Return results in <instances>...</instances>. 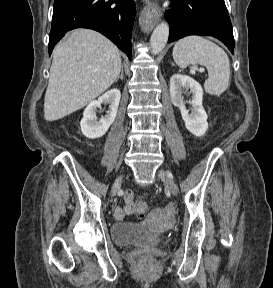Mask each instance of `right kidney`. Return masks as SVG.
<instances>
[{"mask_svg":"<svg viewBox=\"0 0 273 288\" xmlns=\"http://www.w3.org/2000/svg\"><path fill=\"white\" fill-rule=\"evenodd\" d=\"M121 93L114 88L103 94L98 100L92 101L84 110L83 118L80 122L83 135L89 139L102 137L109 129L116 118ZM101 104H109V111L97 121L96 111Z\"/></svg>","mask_w":273,"mask_h":288,"instance_id":"ca27d5eb","label":"right kidney"}]
</instances>
